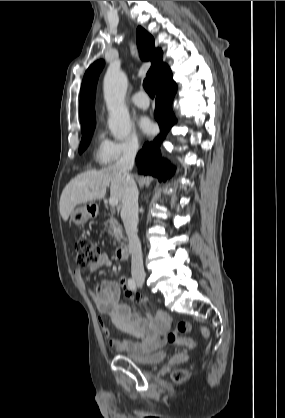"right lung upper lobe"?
<instances>
[{
  "mask_svg": "<svg viewBox=\"0 0 285 418\" xmlns=\"http://www.w3.org/2000/svg\"><path fill=\"white\" fill-rule=\"evenodd\" d=\"M137 45L141 59L152 62L147 75L153 78L158 89L172 77L169 66L162 61V50L154 47V38L142 27L137 28ZM104 65V60H97L85 72L80 90L81 127L95 122L96 85Z\"/></svg>",
  "mask_w": 285,
  "mask_h": 418,
  "instance_id": "right-lung-upper-lobe-1",
  "label": "right lung upper lobe"
}]
</instances>
